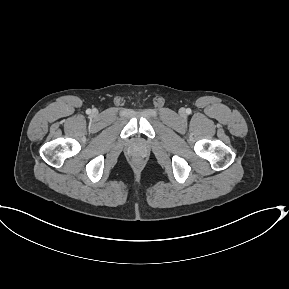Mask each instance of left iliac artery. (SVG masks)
Instances as JSON below:
<instances>
[{
    "instance_id": "44dca946",
    "label": "left iliac artery",
    "mask_w": 289,
    "mask_h": 289,
    "mask_svg": "<svg viewBox=\"0 0 289 289\" xmlns=\"http://www.w3.org/2000/svg\"><path fill=\"white\" fill-rule=\"evenodd\" d=\"M186 113H187V114H190V113H191V109L188 108V109L186 110Z\"/></svg>"
}]
</instances>
